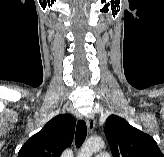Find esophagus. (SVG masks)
I'll use <instances>...</instances> for the list:
<instances>
[{
	"label": "esophagus",
	"instance_id": "esophagus-1",
	"mask_svg": "<svg viewBox=\"0 0 164 157\" xmlns=\"http://www.w3.org/2000/svg\"><path fill=\"white\" fill-rule=\"evenodd\" d=\"M87 127H88L89 133H92L95 128V119L93 115H89L87 117Z\"/></svg>",
	"mask_w": 164,
	"mask_h": 157
}]
</instances>
